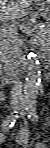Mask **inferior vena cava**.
Returning <instances> with one entry per match:
<instances>
[{
	"label": "inferior vena cava",
	"mask_w": 50,
	"mask_h": 148,
	"mask_svg": "<svg viewBox=\"0 0 50 148\" xmlns=\"http://www.w3.org/2000/svg\"><path fill=\"white\" fill-rule=\"evenodd\" d=\"M10 96L13 101H18L22 97V82L18 77L14 81Z\"/></svg>",
	"instance_id": "602c4592"
}]
</instances>
